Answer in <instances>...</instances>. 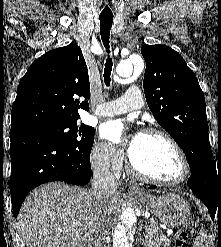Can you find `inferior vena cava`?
<instances>
[{"label":"inferior vena cava","mask_w":221,"mask_h":247,"mask_svg":"<svg viewBox=\"0 0 221 247\" xmlns=\"http://www.w3.org/2000/svg\"><path fill=\"white\" fill-rule=\"evenodd\" d=\"M118 182L110 172L109 163L105 160L102 165L93 169L92 188L90 195L98 207H104L109 198L116 192ZM108 234L100 229L94 239L95 247H108L106 236Z\"/></svg>","instance_id":"obj_1"}]
</instances>
